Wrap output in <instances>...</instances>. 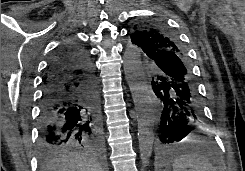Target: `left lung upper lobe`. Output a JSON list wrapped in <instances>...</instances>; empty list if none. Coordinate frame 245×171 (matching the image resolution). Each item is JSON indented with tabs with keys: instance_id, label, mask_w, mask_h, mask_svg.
I'll return each mask as SVG.
<instances>
[{
	"instance_id": "obj_1",
	"label": "left lung upper lobe",
	"mask_w": 245,
	"mask_h": 171,
	"mask_svg": "<svg viewBox=\"0 0 245 171\" xmlns=\"http://www.w3.org/2000/svg\"><path fill=\"white\" fill-rule=\"evenodd\" d=\"M130 38L142 49L148 60L154 61L159 54L175 53L183 58L184 51L177 36L160 21H141L134 25Z\"/></svg>"
}]
</instances>
